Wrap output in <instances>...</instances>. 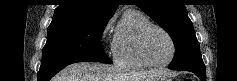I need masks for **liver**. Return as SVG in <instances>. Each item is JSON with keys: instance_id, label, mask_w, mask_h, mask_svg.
Segmentation results:
<instances>
[{"instance_id": "1", "label": "liver", "mask_w": 237, "mask_h": 81, "mask_svg": "<svg viewBox=\"0 0 237 81\" xmlns=\"http://www.w3.org/2000/svg\"><path fill=\"white\" fill-rule=\"evenodd\" d=\"M164 75L161 70L125 72L115 66L80 62L67 66L54 81H152Z\"/></svg>"}]
</instances>
